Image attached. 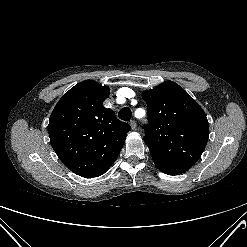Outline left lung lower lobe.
<instances>
[{
  "mask_svg": "<svg viewBox=\"0 0 247 247\" xmlns=\"http://www.w3.org/2000/svg\"><path fill=\"white\" fill-rule=\"evenodd\" d=\"M160 171L168 175H178L190 169L189 166L168 162L158 157H152Z\"/></svg>",
  "mask_w": 247,
  "mask_h": 247,
  "instance_id": "obj_1",
  "label": "left lung lower lobe"
}]
</instances>
